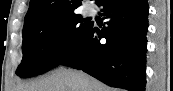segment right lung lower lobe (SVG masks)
Here are the masks:
<instances>
[{
	"label": "right lung lower lobe",
	"mask_w": 173,
	"mask_h": 91,
	"mask_svg": "<svg viewBox=\"0 0 173 91\" xmlns=\"http://www.w3.org/2000/svg\"><path fill=\"white\" fill-rule=\"evenodd\" d=\"M96 4L103 6L107 26L99 29L91 23L59 65L82 70L113 87L145 91L147 0H98Z\"/></svg>",
	"instance_id": "obj_1"
}]
</instances>
